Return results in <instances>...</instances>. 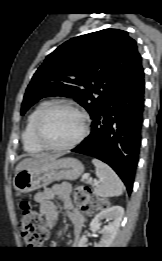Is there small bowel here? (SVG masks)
<instances>
[{
	"instance_id": "c3829d8e",
	"label": "small bowel",
	"mask_w": 162,
	"mask_h": 261,
	"mask_svg": "<svg viewBox=\"0 0 162 261\" xmlns=\"http://www.w3.org/2000/svg\"><path fill=\"white\" fill-rule=\"evenodd\" d=\"M71 186L67 182L55 184L49 188L38 192L35 195V202L39 207L40 212L43 214L50 229H54L58 220V204L59 200L65 209L70 213L73 231L76 234L81 232L85 217L75 209L73 202L70 198Z\"/></svg>"
}]
</instances>
